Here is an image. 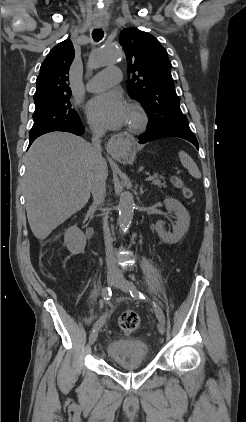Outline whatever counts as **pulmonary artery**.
Instances as JSON below:
<instances>
[{
    "mask_svg": "<svg viewBox=\"0 0 246 422\" xmlns=\"http://www.w3.org/2000/svg\"><path fill=\"white\" fill-rule=\"evenodd\" d=\"M122 73L119 68H107L93 76L86 84L90 92L100 91L121 81Z\"/></svg>",
    "mask_w": 246,
    "mask_h": 422,
    "instance_id": "1",
    "label": "pulmonary artery"
}]
</instances>
